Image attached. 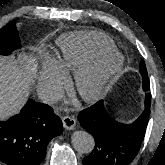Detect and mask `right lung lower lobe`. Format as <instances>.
I'll return each instance as SVG.
<instances>
[{
    "instance_id": "obj_1",
    "label": "right lung lower lobe",
    "mask_w": 165,
    "mask_h": 165,
    "mask_svg": "<svg viewBox=\"0 0 165 165\" xmlns=\"http://www.w3.org/2000/svg\"><path fill=\"white\" fill-rule=\"evenodd\" d=\"M53 109L29 99L18 115L0 121V161L8 165H39L50 139L62 133Z\"/></svg>"
}]
</instances>
